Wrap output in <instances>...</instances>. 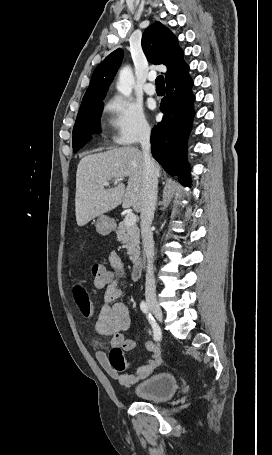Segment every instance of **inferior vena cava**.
I'll return each mask as SVG.
<instances>
[{
	"label": "inferior vena cava",
	"instance_id": "602c4592",
	"mask_svg": "<svg viewBox=\"0 0 272 455\" xmlns=\"http://www.w3.org/2000/svg\"><path fill=\"white\" fill-rule=\"evenodd\" d=\"M141 148L143 152V184L144 194L140 210L141 217V235L143 249L147 257V270L145 281L146 297L156 296V285L154 280L153 262H154V240L151 231V225L154 218L155 205L157 200L158 173L150 153V128L143 130L140 137Z\"/></svg>",
	"mask_w": 272,
	"mask_h": 455
}]
</instances>
